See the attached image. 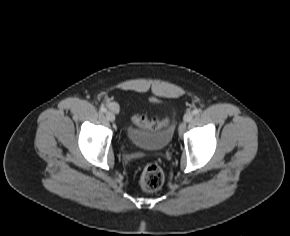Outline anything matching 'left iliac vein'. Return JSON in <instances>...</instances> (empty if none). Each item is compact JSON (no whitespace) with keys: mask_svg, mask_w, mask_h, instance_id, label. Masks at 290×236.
I'll return each mask as SVG.
<instances>
[{"mask_svg":"<svg viewBox=\"0 0 290 236\" xmlns=\"http://www.w3.org/2000/svg\"><path fill=\"white\" fill-rule=\"evenodd\" d=\"M193 118V113L192 112H187L185 115H184V121L185 122H190Z\"/></svg>","mask_w":290,"mask_h":236,"instance_id":"4c4485c4","label":"left iliac vein"}]
</instances>
